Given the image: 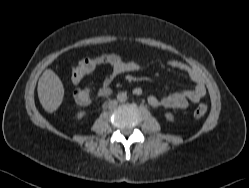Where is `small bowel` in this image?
Instances as JSON below:
<instances>
[{"mask_svg": "<svg viewBox=\"0 0 249 188\" xmlns=\"http://www.w3.org/2000/svg\"><path fill=\"white\" fill-rule=\"evenodd\" d=\"M111 66V72L104 79L103 85L107 86L120 74L128 71H136L141 68L137 61H123L116 56L115 60L109 62ZM169 66L173 69L185 73L191 81L194 83V87L190 90L178 93H172L164 97H157L150 95L148 97V103L153 107H164L169 109L182 110L187 108L189 103H198L206 94L205 84L199 75V73L187 65L186 63L178 60H172L169 62ZM142 92L140 88H136Z\"/></svg>", "mask_w": 249, "mask_h": 188, "instance_id": "1", "label": "small bowel"}]
</instances>
